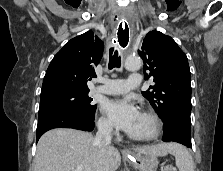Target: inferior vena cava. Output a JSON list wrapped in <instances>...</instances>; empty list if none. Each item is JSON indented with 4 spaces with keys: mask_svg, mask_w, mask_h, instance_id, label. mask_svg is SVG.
<instances>
[{
    "mask_svg": "<svg viewBox=\"0 0 223 171\" xmlns=\"http://www.w3.org/2000/svg\"><path fill=\"white\" fill-rule=\"evenodd\" d=\"M112 126L108 123H101L98 125V131L95 137V143L98 147L104 148L111 144Z\"/></svg>",
    "mask_w": 223,
    "mask_h": 171,
    "instance_id": "602c4592",
    "label": "inferior vena cava"
}]
</instances>
